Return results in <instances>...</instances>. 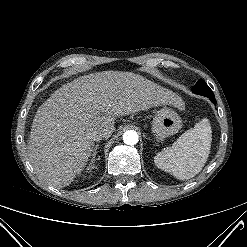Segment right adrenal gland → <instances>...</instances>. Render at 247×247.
Segmentation results:
<instances>
[{
  "mask_svg": "<svg viewBox=\"0 0 247 247\" xmlns=\"http://www.w3.org/2000/svg\"><path fill=\"white\" fill-rule=\"evenodd\" d=\"M98 144L94 147V150H93V155H92V158H91V162H90V168H93V164L95 162V158H96V154H97V149H98Z\"/></svg>",
  "mask_w": 247,
  "mask_h": 247,
  "instance_id": "obj_1",
  "label": "right adrenal gland"
}]
</instances>
